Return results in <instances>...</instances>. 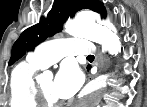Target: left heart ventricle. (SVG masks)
<instances>
[{
  "instance_id": "left-heart-ventricle-1",
  "label": "left heart ventricle",
  "mask_w": 147,
  "mask_h": 107,
  "mask_svg": "<svg viewBox=\"0 0 147 107\" xmlns=\"http://www.w3.org/2000/svg\"><path fill=\"white\" fill-rule=\"evenodd\" d=\"M41 86L43 89V92L49 98L53 101H60L61 99L54 93L53 86H54V79L53 77H43L41 80Z\"/></svg>"
}]
</instances>
